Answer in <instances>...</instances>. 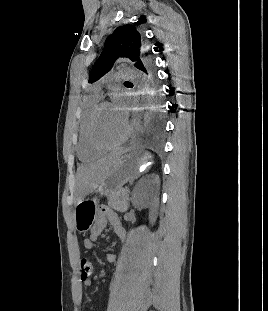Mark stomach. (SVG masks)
<instances>
[{
    "label": "stomach",
    "instance_id": "0dacf381",
    "mask_svg": "<svg viewBox=\"0 0 268 311\" xmlns=\"http://www.w3.org/2000/svg\"><path fill=\"white\" fill-rule=\"evenodd\" d=\"M148 157L137 148H129L113 164L107 177L99 184L95 192L101 195L122 189L127 182L137 179L141 172L140 167L145 164ZM97 198H87L79 202L74 211L75 229L79 232H87L95 220Z\"/></svg>",
    "mask_w": 268,
    "mask_h": 311
}]
</instances>
